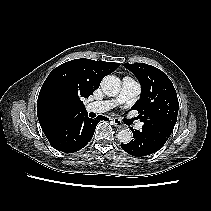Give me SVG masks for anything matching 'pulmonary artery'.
I'll use <instances>...</instances> for the list:
<instances>
[{
	"label": "pulmonary artery",
	"instance_id": "1",
	"mask_svg": "<svg viewBox=\"0 0 211 211\" xmlns=\"http://www.w3.org/2000/svg\"><path fill=\"white\" fill-rule=\"evenodd\" d=\"M140 92V84L135 79L126 76L122 79L121 90L116 98L91 102L87 105V111L95 113L107 112L119 104L128 102L136 98L140 94ZM136 128L141 130L142 123H138L136 125Z\"/></svg>",
	"mask_w": 211,
	"mask_h": 211
}]
</instances>
